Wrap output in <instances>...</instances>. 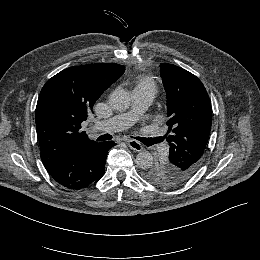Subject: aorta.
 Masks as SVG:
<instances>
[{
	"label": "aorta",
	"instance_id": "aorta-1",
	"mask_svg": "<svg viewBox=\"0 0 260 260\" xmlns=\"http://www.w3.org/2000/svg\"><path fill=\"white\" fill-rule=\"evenodd\" d=\"M109 101L114 109L124 111L129 108L131 98L128 91L118 88L110 94ZM135 163L142 169L149 168L153 164V156L148 151H141L137 154Z\"/></svg>",
	"mask_w": 260,
	"mask_h": 260
}]
</instances>
